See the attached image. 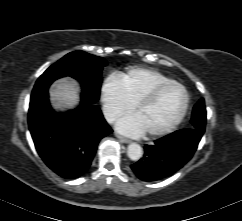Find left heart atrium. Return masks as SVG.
Here are the masks:
<instances>
[{"mask_svg":"<svg viewBox=\"0 0 242 221\" xmlns=\"http://www.w3.org/2000/svg\"><path fill=\"white\" fill-rule=\"evenodd\" d=\"M116 128L119 132L130 136H140L145 133L141 122L135 114H130L119 119L116 123Z\"/></svg>","mask_w":242,"mask_h":221,"instance_id":"obj_1","label":"left heart atrium"}]
</instances>
